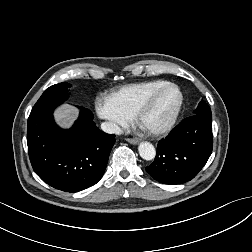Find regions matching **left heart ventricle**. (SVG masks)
Listing matches in <instances>:
<instances>
[{"mask_svg":"<svg viewBox=\"0 0 252 252\" xmlns=\"http://www.w3.org/2000/svg\"><path fill=\"white\" fill-rule=\"evenodd\" d=\"M179 100L180 94L175 88H168L160 93L153 106L144 115V127L154 129L165 125L172 117Z\"/></svg>","mask_w":252,"mask_h":252,"instance_id":"left-heart-ventricle-1","label":"left heart ventricle"}]
</instances>
